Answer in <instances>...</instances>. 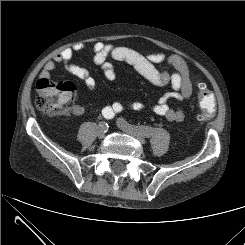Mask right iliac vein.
<instances>
[{
    "label": "right iliac vein",
    "mask_w": 245,
    "mask_h": 245,
    "mask_svg": "<svg viewBox=\"0 0 245 245\" xmlns=\"http://www.w3.org/2000/svg\"><path fill=\"white\" fill-rule=\"evenodd\" d=\"M97 135H98V138L100 139H103L105 137V131L101 126L98 127Z\"/></svg>",
    "instance_id": "63e3f726"
}]
</instances>
